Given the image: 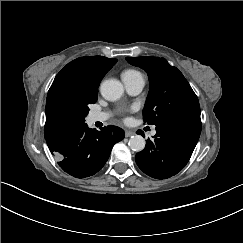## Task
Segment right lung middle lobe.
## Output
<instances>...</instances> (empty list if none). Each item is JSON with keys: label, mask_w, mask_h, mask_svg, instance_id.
<instances>
[{"label": "right lung middle lobe", "mask_w": 243, "mask_h": 243, "mask_svg": "<svg viewBox=\"0 0 243 243\" xmlns=\"http://www.w3.org/2000/svg\"><path fill=\"white\" fill-rule=\"evenodd\" d=\"M98 92L76 93L63 97L56 106V117L63 127L83 124L89 111V104L97 101Z\"/></svg>", "instance_id": "right-lung-middle-lobe-1"}]
</instances>
